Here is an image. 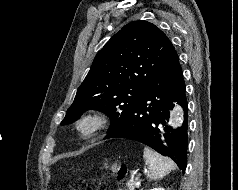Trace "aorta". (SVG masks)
I'll return each instance as SVG.
<instances>
[{"mask_svg":"<svg viewBox=\"0 0 238 190\" xmlns=\"http://www.w3.org/2000/svg\"><path fill=\"white\" fill-rule=\"evenodd\" d=\"M174 122L181 123L182 122V113L179 111H176L173 115Z\"/></svg>","mask_w":238,"mask_h":190,"instance_id":"aorta-1","label":"aorta"}]
</instances>
